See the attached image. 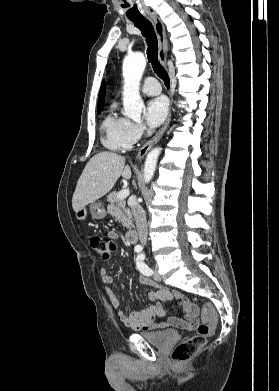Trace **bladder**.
Listing matches in <instances>:
<instances>
[{
	"label": "bladder",
	"instance_id": "bladder-1",
	"mask_svg": "<svg viewBox=\"0 0 279 391\" xmlns=\"http://www.w3.org/2000/svg\"><path fill=\"white\" fill-rule=\"evenodd\" d=\"M141 337H143L147 342L156 346L158 348H166L179 337L178 331L175 330H161V331H151V332H142Z\"/></svg>",
	"mask_w": 279,
	"mask_h": 391
}]
</instances>
